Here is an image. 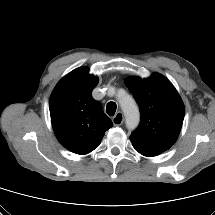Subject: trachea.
Returning a JSON list of instances; mask_svg holds the SVG:
<instances>
[{
	"instance_id": "1",
	"label": "trachea",
	"mask_w": 215,
	"mask_h": 215,
	"mask_svg": "<svg viewBox=\"0 0 215 215\" xmlns=\"http://www.w3.org/2000/svg\"><path fill=\"white\" fill-rule=\"evenodd\" d=\"M116 108H117L116 103L109 102L107 104V106H106V112H107V114L110 115V116H114Z\"/></svg>"
}]
</instances>
